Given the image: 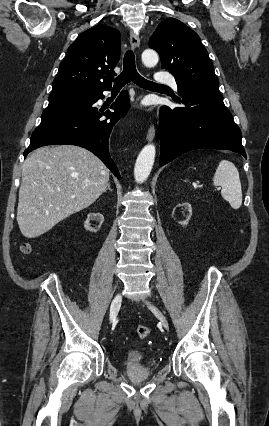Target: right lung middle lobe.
<instances>
[{"instance_id": "obj_1", "label": "right lung middle lobe", "mask_w": 269, "mask_h": 426, "mask_svg": "<svg viewBox=\"0 0 269 426\" xmlns=\"http://www.w3.org/2000/svg\"><path fill=\"white\" fill-rule=\"evenodd\" d=\"M91 98V93L81 91H59L51 92L49 95V105L43 111L42 118L63 113L68 110L82 106Z\"/></svg>"}]
</instances>
